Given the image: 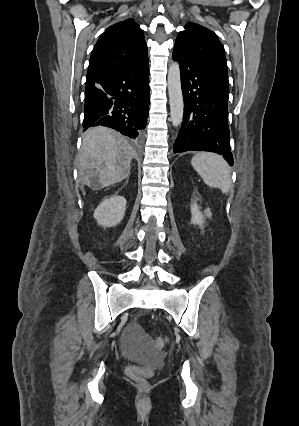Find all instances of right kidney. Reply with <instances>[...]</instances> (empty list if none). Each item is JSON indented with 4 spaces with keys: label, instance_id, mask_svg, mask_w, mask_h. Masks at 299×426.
Listing matches in <instances>:
<instances>
[{
    "label": "right kidney",
    "instance_id": "1",
    "mask_svg": "<svg viewBox=\"0 0 299 426\" xmlns=\"http://www.w3.org/2000/svg\"><path fill=\"white\" fill-rule=\"evenodd\" d=\"M125 210L126 199L115 194L103 200L95 209L93 216L104 228L113 227L122 221Z\"/></svg>",
    "mask_w": 299,
    "mask_h": 426
}]
</instances>
